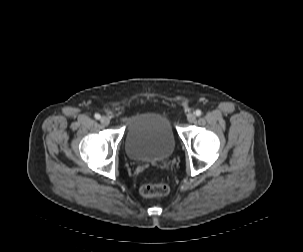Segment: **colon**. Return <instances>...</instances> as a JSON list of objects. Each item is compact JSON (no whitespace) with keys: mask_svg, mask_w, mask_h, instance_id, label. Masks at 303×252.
<instances>
[{"mask_svg":"<svg viewBox=\"0 0 303 252\" xmlns=\"http://www.w3.org/2000/svg\"><path fill=\"white\" fill-rule=\"evenodd\" d=\"M141 192L146 197H163L169 193V186L167 183L146 184Z\"/></svg>","mask_w":303,"mask_h":252,"instance_id":"5ec220e1","label":"colon"}]
</instances>
